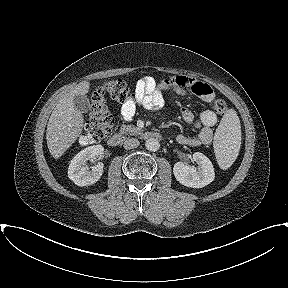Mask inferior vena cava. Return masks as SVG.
<instances>
[{
    "label": "inferior vena cava",
    "instance_id": "obj_1",
    "mask_svg": "<svg viewBox=\"0 0 288 288\" xmlns=\"http://www.w3.org/2000/svg\"><path fill=\"white\" fill-rule=\"evenodd\" d=\"M140 144L139 140L136 138H128L127 140H125L124 142V148L125 149H133L138 147Z\"/></svg>",
    "mask_w": 288,
    "mask_h": 288
}]
</instances>
